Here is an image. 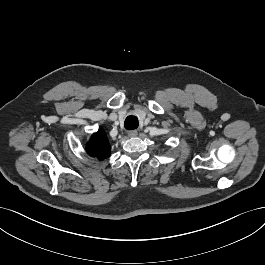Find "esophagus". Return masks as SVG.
<instances>
[{
	"label": "esophagus",
	"mask_w": 265,
	"mask_h": 265,
	"mask_svg": "<svg viewBox=\"0 0 265 265\" xmlns=\"http://www.w3.org/2000/svg\"><path fill=\"white\" fill-rule=\"evenodd\" d=\"M137 135H138L137 130H130V131L128 132V136H129V137H136Z\"/></svg>",
	"instance_id": "obj_1"
}]
</instances>
